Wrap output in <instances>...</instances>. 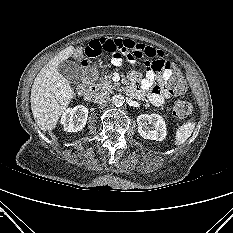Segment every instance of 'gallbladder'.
Wrapping results in <instances>:
<instances>
[{"label":"gallbladder","mask_w":233,"mask_h":233,"mask_svg":"<svg viewBox=\"0 0 233 233\" xmlns=\"http://www.w3.org/2000/svg\"><path fill=\"white\" fill-rule=\"evenodd\" d=\"M59 73L68 81L78 83L83 77V70L72 60H64L58 65Z\"/></svg>","instance_id":"1"}]
</instances>
